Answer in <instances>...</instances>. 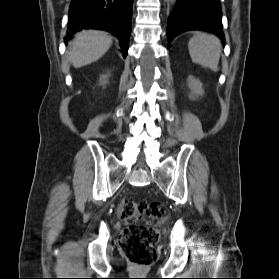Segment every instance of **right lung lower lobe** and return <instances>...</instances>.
Returning <instances> with one entry per match:
<instances>
[{
	"label": "right lung lower lobe",
	"mask_w": 279,
	"mask_h": 279,
	"mask_svg": "<svg viewBox=\"0 0 279 279\" xmlns=\"http://www.w3.org/2000/svg\"><path fill=\"white\" fill-rule=\"evenodd\" d=\"M133 0H72L65 40L88 28L106 30L119 40L125 58L131 33Z\"/></svg>",
	"instance_id": "right-lung-lower-lobe-1"
}]
</instances>
